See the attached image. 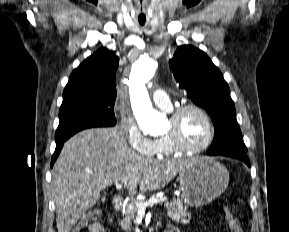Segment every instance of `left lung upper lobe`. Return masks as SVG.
I'll list each match as a JSON object with an SVG mask.
<instances>
[{
  "mask_svg": "<svg viewBox=\"0 0 289 232\" xmlns=\"http://www.w3.org/2000/svg\"><path fill=\"white\" fill-rule=\"evenodd\" d=\"M169 64L179 87L213 121L214 139L207 154L246 153L228 84L210 58L194 46L183 45L177 48Z\"/></svg>",
  "mask_w": 289,
  "mask_h": 232,
  "instance_id": "5c2ea615",
  "label": "left lung upper lobe"
}]
</instances>
